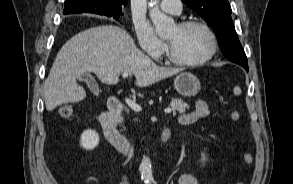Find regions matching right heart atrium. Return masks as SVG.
<instances>
[{
  "label": "right heart atrium",
  "instance_id": "obj_1",
  "mask_svg": "<svg viewBox=\"0 0 293 184\" xmlns=\"http://www.w3.org/2000/svg\"><path fill=\"white\" fill-rule=\"evenodd\" d=\"M135 33L141 49L154 59H158L165 51V44L155 35L151 27L142 21L135 22Z\"/></svg>",
  "mask_w": 293,
  "mask_h": 184
}]
</instances>
